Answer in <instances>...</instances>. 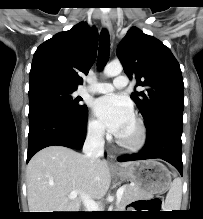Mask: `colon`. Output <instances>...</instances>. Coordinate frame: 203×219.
<instances>
[{
	"label": "colon",
	"mask_w": 203,
	"mask_h": 219,
	"mask_svg": "<svg viewBox=\"0 0 203 219\" xmlns=\"http://www.w3.org/2000/svg\"><path fill=\"white\" fill-rule=\"evenodd\" d=\"M147 207L152 210H159L161 206L160 198L156 197L147 202Z\"/></svg>",
	"instance_id": "obj_1"
}]
</instances>
